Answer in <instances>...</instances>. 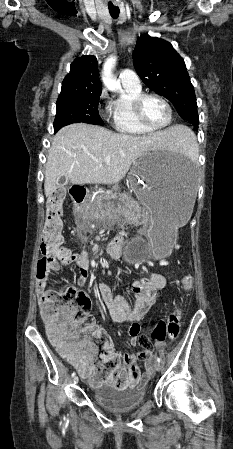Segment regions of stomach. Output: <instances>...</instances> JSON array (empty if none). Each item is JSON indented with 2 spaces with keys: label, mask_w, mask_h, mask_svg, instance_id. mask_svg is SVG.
Segmentation results:
<instances>
[{
  "label": "stomach",
  "mask_w": 233,
  "mask_h": 449,
  "mask_svg": "<svg viewBox=\"0 0 233 449\" xmlns=\"http://www.w3.org/2000/svg\"><path fill=\"white\" fill-rule=\"evenodd\" d=\"M128 181L138 200L146 207L148 222L142 234L128 244L132 260L147 258L150 251L165 253L175 243L176 230L191 217L196 200L197 174L193 163L157 151L140 156Z\"/></svg>",
  "instance_id": "obj_1"
}]
</instances>
